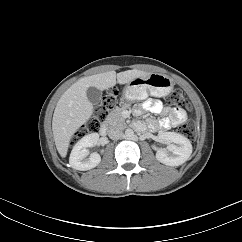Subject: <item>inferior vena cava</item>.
<instances>
[{"label": "inferior vena cava", "instance_id": "inferior-vena-cava-1", "mask_svg": "<svg viewBox=\"0 0 242 242\" xmlns=\"http://www.w3.org/2000/svg\"><path fill=\"white\" fill-rule=\"evenodd\" d=\"M108 135L111 139L116 140L123 136V132H122V129L119 128L118 126H111L109 128Z\"/></svg>", "mask_w": 242, "mask_h": 242}]
</instances>
